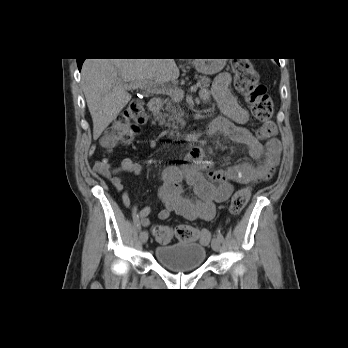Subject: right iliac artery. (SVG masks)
<instances>
[{
	"label": "right iliac artery",
	"instance_id": "right-iliac-artery-1",
	"mask_svg": "<svg viewBox=\"0 0 348 348\" xmlns=\"http://www.w3.org/2000/svg\"><path fill=\"white\" fill-rule=\"evenodd\" d=\"M132 207H137V202H132ZM133 220L135 222V225L137 229L140 231L141 230V224H140V218L138 214V208H133Z\"/></svg>",
	"mask_w": 348,
	"mask_h": 348
}]
</instances>
